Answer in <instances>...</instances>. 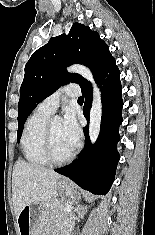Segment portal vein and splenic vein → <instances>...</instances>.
Returning a JSON list of instances; mask_svg holds the SVG:
<instances>
[{"label":"portal vein and splenic vein","instance_id":"obj_1","mask_svg":"<svg viewBox=\"0 0 155 235\" xmlns=\"http://www.w3.org/2000/svg\"><path fill=\"white\" fill-rule=\"evenodd\" d=\"M63 209L67 212H70L72 210V208L70 206H65V207H63Z\"/></svg>","mask_w":155,"mask_h":235}]
</instances>
